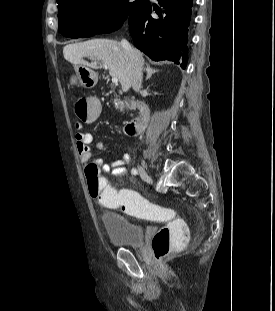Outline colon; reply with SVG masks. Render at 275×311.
<instances>
[{
	"mask_svg": "<svg viewBox=\"0 0 275 311\" xmlns=\"http://www.w3.org/2000/svg\"><path fill=\"white\" fill-rule=\"evenodd\" d=\"M73 104L78 120L82 121L83 125H94L101 112L99 97H78L74 99ZM86 177L90 196L99 202L121 207L135 216L165 222L152 239V251L157 261L163 260L173 250L184 246L187 226L177 216L175 210L151 204L138 195V190H115L114 186H107L111 183L110 178L99 175L95 164L88 165Z\"/></svg>",
	"mask_w": 275,
	"mask_h": 311,
	"instance_id": "obj_1",
	"label": "colon"
}]
</instances>
